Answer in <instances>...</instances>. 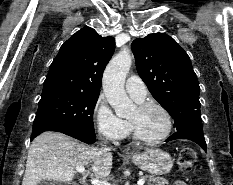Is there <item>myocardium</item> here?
Listing matches in <instances>:
<instances>
[{"label":"myocardium","instance_id":"1","mask_svg":"<svg viewBox=\"0 0 233 185\" xmlns=\"http://www.w3.org/2000/svg\"><path fill=\"white\" fill-rule=\"evenodd\" d=\"M139 110H145L147 108H157L160 111H162V113L165 115L166 120H167V128L166 131L159 137L157 138H146L144 137L139 130L137 129L136 125L134 124V122H132L131 120H128L129 125H130V129L132 131L133 137L142 143L145 144H149V145H155V144H159L161 142H163L164 140H166L172 133L173 130V126H174V122H173V117L171 115V113L169 112V110L163 106L162 104L155 102V101H151V100H147V101H141L137 104L136 106Z\"/></svg>","mask_w":233,"mask_h":185}]
</instances>
